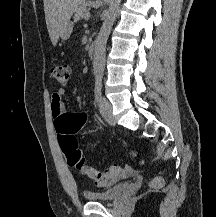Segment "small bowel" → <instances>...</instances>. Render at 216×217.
Wrapping results in <instances>:
<instances>
[{
  "label": "small bowel",
  "mask_w": 216,
  "mask_h": 217,
  "mask_svg": "<svg viewBox=\"0 0 216 217\" xmlns=\"http://www.w3.org/2000/svg\"><path fill=\"white\" fill-rule=\"evenodd\" d=\"M67 90L65 88L57 89L51 96V115L54 119L55 125L57 121L65 114V107L63 103V97L66 95ZM132 168L126 167L124 173H131Z\"/></svg>",
  "instance_id": "c3829d8e"
}]
</instances>
